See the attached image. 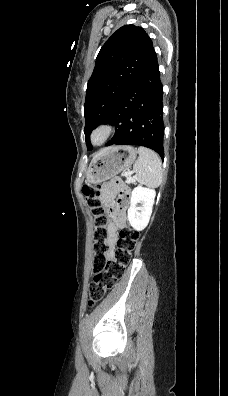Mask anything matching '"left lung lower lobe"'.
<instances>
[{
	"mask_svg": "<svg viewBox=\"0 0 228 396\" xmlns=\"http://www.w3.org/2000/svg\"><path fill=\"white\" fill-rule=\"evenodd\" d=\"M110 124L116 132L106 146H145L164 158L163 86L155 51L124 93Z\"/></svg>",
	"mask_w": 228,
	"mask_h": 396,
	"instance_id": "left-lung-lower-lobe-1",
	"label": "left lung lower lobe"
}]
</instances>
